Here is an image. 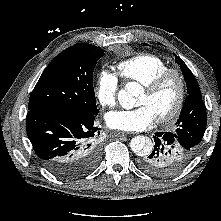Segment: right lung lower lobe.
<instances>
[{
    "mask_svg": "<svg viewBox=\"0 0 221 221\" xmlns=\"http://www.w3.org/2000/svg\"><path fill=\"white\" fill-rule=\"evenodd\" d=\"M96 112L30 110L26 118L29 140L41 163L56 176L74 179L89 173L99 160L93 139L100 128Z\"/></svg>",
    "mask_w": 221,
    "mask_h": 221,
    "instance_id": "obj_1",
    "label": "right lung lower lobe"
}]
</instances>
